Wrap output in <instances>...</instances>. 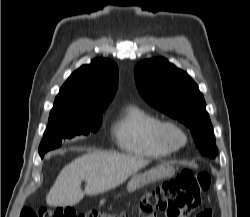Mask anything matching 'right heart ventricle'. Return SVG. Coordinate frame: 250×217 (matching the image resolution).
<instances>
[{
    "instance_id": "obj_1",
    "label": "right heart ventricle",
    "mask_w": 250,
    "mask_h": 217,
    "mask_svg": "<svg viewBox=\"0 0 250 217\" xmlns=\"http://www.w3.org/2000/svg\"><path fill=\"white\" fill-rule=\"evenodd\" d=\"M159 123L160 119L154 114L129 104L113 121L111 132L121 151L139 157L163 158L173 151L159 141L156 134Z\"/></svg>"
}]
</instances>
